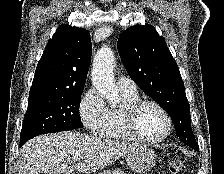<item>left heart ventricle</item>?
Segmentation results:
<instances>
[{"label": "left heart ventricle", "mask_w": 224, "mask_h": 174, "mask_svg": "<svg viewBox=\"0 0 224 174\" xmlns=\"http://www.w3.org/2000/svg\"><path fill=\"white\" fill-rule=\"evenodd\" d=\"M137 127L142 135L149 138H157L165 133L167 123L158 109L147 105L138 113Z\"/></svg>", "instance_id": "obj_1"}]
</instances>
